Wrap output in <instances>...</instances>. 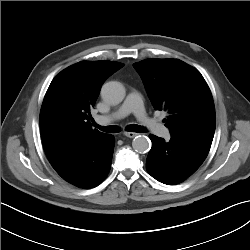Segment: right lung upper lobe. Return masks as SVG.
<instances>
[{
	"label": "right lung upper lobe",
	"instance_id": "cb5924a9",
	"mask_svg": "<svg viewBox=\"0 0 250 250\" xmlns=\"http://www.w3.org/2000/svg\"><path fill=\"white\" fill-rule=\"evenodd\" d=\"M123 66L113 61H82L53 79L40 111L43 146L51 165L104 135L92 130L90 110L102 84Z\"/></svg>",
	"mask_w": 250,
	"mask_h": 250
}]
</instances>
